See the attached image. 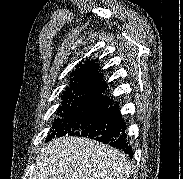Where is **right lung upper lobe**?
I'll list each match as a JSON object with an SVG mask.
<instances>
[{
  "label": "right lung upper lobe",
  "mask_w": 183,
  "mask_h": 179,
  "mask_svg": "<svg viewBox=\"0 0 183 179\" xmlns=\"http://www.w3.org/2000/svg\"><path fill=\"white\" fill-rule=\"evenodd\" d=\"M87 59L85 63H79L76 70L71 74L69 85L63 91V102L86 97L101 96L105 92L107 84L104 83L99 73V64Z\"/></svg>",
  "instance_id": "1"
}]
</instances>
